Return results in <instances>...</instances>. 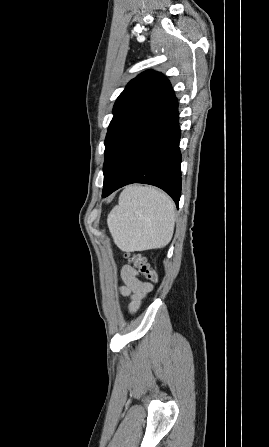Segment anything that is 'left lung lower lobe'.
<instances>
[{
  "instance_id": "obj_1",
  "label": "left lung lower lobe",
  "mask_w": 269,
  "mask_h": 447,
  "mask_svg": "<svg viewBox=\"0 0 269 447\" xmlns=\"http://www.w3.org/2000/svg\"><path fill=\"white\" fill-rule=\"evenodd\" d=\"M178 103L175 95L168 112L151 128L134 148L102 197L131 184L145 183L167 192L178 207L181 195V153Z\"/></svg>"
}]
</instances>
